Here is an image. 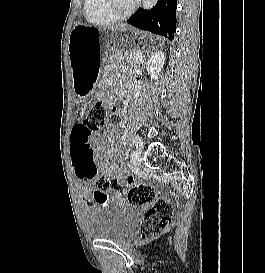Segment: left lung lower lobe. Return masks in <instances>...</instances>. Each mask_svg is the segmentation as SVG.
I'll return each instance as SVG.
<instances>
[{"instance_id":"obj_1","label":"left lung lower lobe","mask_w":265,"mask_h":273,"mask_svg":"<svg viewBox=\"0 0 265 273\" xmlns=\"http://www.w3.org/2000/svg\"><path fill=\"white\" fill-rule=\"evenodd\" d=\"M177 0H158L149 11L140 8L128 23L142 30L174 39Z\"/></svg>"}]
</instances>
